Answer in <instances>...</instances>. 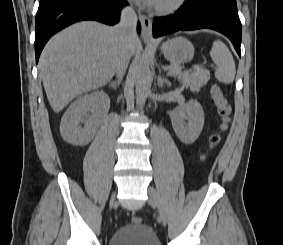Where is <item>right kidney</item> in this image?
<instances>
[{
  "label": "right kidney",
  "mask_w": 283,
  "mask_h": 245,
  "mask_svg": "<svg viewBox=\"0 0 283 245\" xmlns=\"http://www.w3.org/2000/svg\"><path fill=\"white\" fill-rule=\"evenodd\" d=\"M109 106L110 99L103 91H96L76 99L61 119L62 138L75 146L88 144L96 133V123L99 117L108 111ZM87 111H91L92 117L85 120L83 115ZM81 123L84 124V128L79 126Z\"/></svg>",
  "instance_id": "obj_1"
}]
</instances>
